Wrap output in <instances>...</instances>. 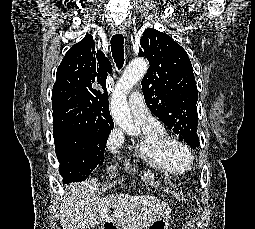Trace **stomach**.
Returning a JSON list of instances; mask_svg holds the SVG:
<instances>
[{
	"label": "stomach",
	"mask_w": 255,
	"mask_h": 229,
	"mask_svg": "<svg viewBox=\"0 0 255 229\" xmlns=\"http://www.w3.org/2000/svg\"><path fill=\"white\" fill-rule=\"evenodd\" d=\"M169 220H170L169 213L160 215L155 220H153L151 223L146 225L144 227V229H168ZM109 228H111V229H123L122 227L117 226L113 223L105 222V223L102 224L101 229H109Z\"/></svg>",
	"instance_id": "0dacf381"
}]
</instances>
